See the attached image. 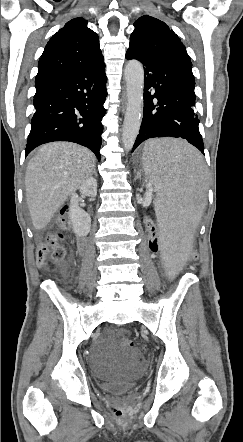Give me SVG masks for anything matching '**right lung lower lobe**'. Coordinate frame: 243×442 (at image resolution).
<instances>
[{"instance_id":"obj_1","label":"right lung lower lobe","mask_w":243,"mask_h":442,"mask_svg":"<svg viewBox=\"0 0 243 442\" xmlns=\"http://www.w3.org/2000/svg\"><path fill=\"white\" fill-rule=\"evenodd\" d=\"M106 82L104 62L37 78L26 156L41 144L70 141L88 147L100 160Z\"/></svg>"}]
</instances>
